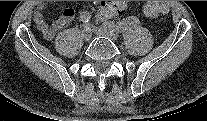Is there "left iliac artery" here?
I'll use <instances>...</instances> for the list:
<instances>
[{
	"instance_id": "left-iliac-artery-1",
	"label": "left iliac artery",
	"mask_w": 207,
	"mask_h": 121,
	"mask_svg": "<svg viewBox=\"0 0 207 121\" xmlns=\"http://www.w3.org/2000/svg\"><path fill=\"white\" fill-rule=\"evenodd\" d=\"M137 20H138L137 17L133 15L128 19L125 18V19L121 20L120 22L109 23V24H107V26L114 28L118 32H123L128 28L129 25L131 26L134 23H136Z\"/></svg>"
}]
</instances>
